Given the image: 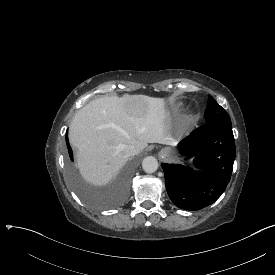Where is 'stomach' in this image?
<instances>
[{
    "instance_id": "stomach-1",
    "label": "stomach",
    "mask_w": 275,
    "mask_h": 275,
    "mask_svg": "<svg viewBox=\"0 0 275 275\" xmlns=\"http://www.w3.org/2000/svg\"><path fill=\"white\" fill-rule=\"evenodd\" d=\"M161 153H164L165 154V158H168L172 155H175L176 154V150L173 149V148H170V147H166V148H163L161 150Z\"/></svg>"
}]
</instances>
